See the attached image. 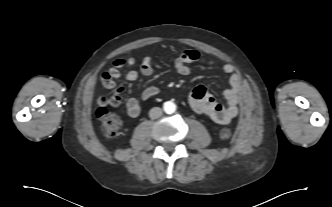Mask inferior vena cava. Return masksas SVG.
<instances>
[{
	"mask_svg": "<svg viewBox=\"0 0 332 207\" xmlns=\"http://www.w3.org/2000/svg\"><path fill=\"white\" fill-rule=\"evenodd\" d=\"M161 115H162V109L159 107H154L149 112V116L152 119L159 118Z\"/></svg>",
	"mask_w": 332,
	"mask_h": 207,
	"instance_id": "inferior-vena-cava-1",
	"label": "inferior vena cava"
}]
</instances>
